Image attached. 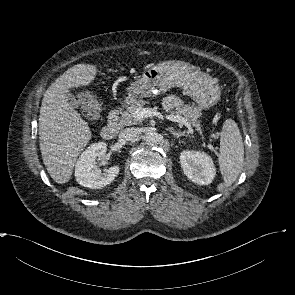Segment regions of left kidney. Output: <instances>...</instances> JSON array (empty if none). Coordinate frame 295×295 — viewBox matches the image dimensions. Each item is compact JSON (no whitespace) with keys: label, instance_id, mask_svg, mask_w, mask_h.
Segmentation results:
<instances>
[{"label":"left kidney","instance_id":"obj_1","mask_svg":"<svg viewBox=\"0 0 295 295\" xmlns=\"http://www.w3.org/2000/svg\"><path fill=\"white\" fill-rule=\"evenodd\" d=\"M180 163L188 179L199 185L210 184L216 175L213 161L206 153L184 150L180 154Z\"/></svg>","mask_w":295,"mask_h":295}]
</instances>
